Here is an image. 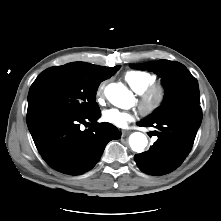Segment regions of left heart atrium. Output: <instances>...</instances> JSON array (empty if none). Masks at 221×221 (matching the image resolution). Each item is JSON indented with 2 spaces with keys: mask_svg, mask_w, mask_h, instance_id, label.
<instances>
[{
  "mask_svg": "<svg viewBox=\"0 0 221 221\" xmlns=\"http://www.w3.org/2000/svg\"><path fill=\"white\" fill-rule=\"evenodd\" d=\"M103 119L114 126L124 128L134 119V115L127 111L111 108L103 112Z\"/></svg>",
  "mask_w": 221,
  "mask_h": 221,
  "instance_id": "1",
  "label": "left heart atrium"
}]
</instances>
